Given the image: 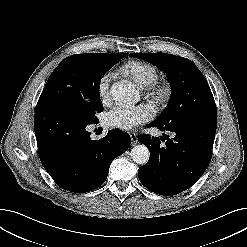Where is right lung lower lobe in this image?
Segmentation results:
<instances>
[{
  "instance_id": "98d812e1",
  "label": "right lung lower lobe",
  "mask_w": 247,
  "mask_h": 247,
  "mask_svg": "<svg viewBox=\"0 0 247 247\" xmlns=\"http://www.w3.org/2000/svg\"><path fill=\"white\" fill-rule=\"evenodd\" d=\"M96 122H84L52 106L36 109L40 160L55 183L67 191L83 193L102 185L111 162L130 146L129 134L119 129L91 140L87 125Z\"/></svg>"
}]
</instances>
